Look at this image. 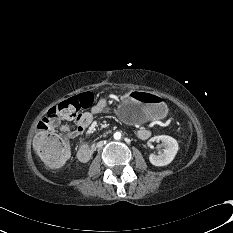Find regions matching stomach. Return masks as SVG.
<instances>
[{
    "label": "stomach",
    "instance_id": "stomach-1",
    "mask_svg": "<svg viewBox=\"0 0 233 233\" xmlns=\"http://www.w3.org/2000/svg\"><path fill=\"white\" fill-rule=\"evenodd\" d=\"M167 112L161 97L146 91H132L119 105L117 115L125 123L136 124L162 119Z\"/></svg>",
    "mask_w": 233,
    "mask_h": 233
}]
</instances>
